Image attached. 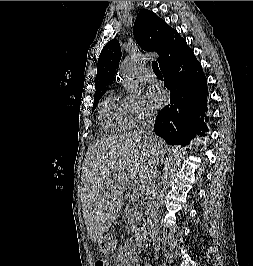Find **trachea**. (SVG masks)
<instances>
[{
  "mask_svg": "<svg viewBox=\"0 0 253 266\" xmlns=\"http://www.w3.org/2000/svg\"><path fill=\"white\" fill-rule=\"evenodd\" d=\"M152 68L155 74H161L157 61L152 62Z\"/></svg>",
  "mask_w": 253,
  "mask_h": 266,
  "instance_id": "3493384b",
  "label": "trachea"
}]
</instances>
